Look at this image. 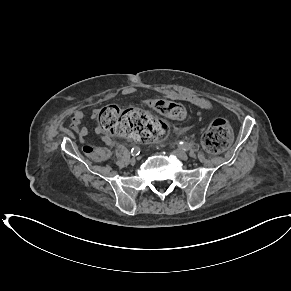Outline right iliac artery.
Returning <instances> with one entry per match:
<instances>
[{
    "mask_svg": "<svg viewBox=\"0 0 291 291\" xmlns=\"http://www.w3.org/2000/svg\"><path fill=\"white\" fill-rule=\"evenodd\" d=\"M131 153H132V156H137L140 153V148L137 146L132 148Z\"/></svg>",
    "mask_w": 291,
    "mask_h": 291,
    "instance_id": "82829eb1",
    "label": "right iliac artery"
}]
</instances>
